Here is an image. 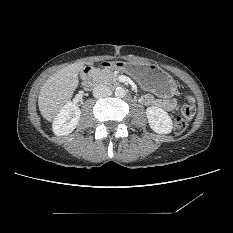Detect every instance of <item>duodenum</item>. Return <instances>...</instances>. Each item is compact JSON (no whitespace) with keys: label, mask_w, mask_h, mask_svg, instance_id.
Listing matches in <instances>:
<instances>
[{"label":"duodenum","mask_w":233,"mask_h":233,"mask_svg":"<svg viewBox=\"0 0 233 233\" xmlns=\"http://www.w3.org/2000/svg\"><path fill=\"white\" fill-rule=\"evenodd\" d=\"M115 65L116 64L114 62L108 61V62H103L100 65V67L113 68V67H115ZM94 70L95 69L93 67H88L83 71V73L81 75V81L87 87H90L92 85V75H93Z\"/></svg>","instance_id":"410a0bca"}]
</instances>
